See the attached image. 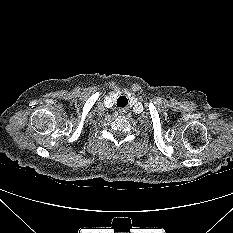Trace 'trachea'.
<instances>
[{"instance_id":"1","label":"trachea","mask_w":233,"mask_h":233,"mask_svg":"<svg viewBox=\"0 0 233 233\" xmlns=\"http://www.w3.org/2000/svg\"><path fill=\"white\" fill-rule=\"evenodd\" d=\"M128 104V100L125 96H120L117 99V106L118 107H125Z\"/></svg>"}]
</instances>
